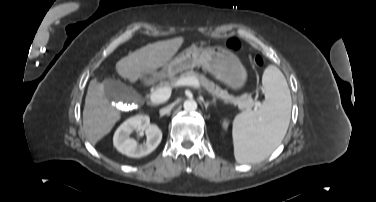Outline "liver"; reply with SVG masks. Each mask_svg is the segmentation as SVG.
I'll return each mask as SVG.
<instances>
[{
  "instance_id": "6515ba94",
  "label": "liver",
  "mask_w": 376,
  "mask_h": 202,
  "mask_svg": "<svg viewBox=\"0 0 376 202\" xmlns=\"http://www.w3.org/2000/svg\"><path fill=\"white\" fill-rule=\"evenodd\" d=\"M183 42V37H176L148 44L119 60L116 70L123 78L135 82L143 74L166 65ZM120 117L119 110L104 98L103 83L93 79L88 86L83 110V128L91 144L95 145L107 135Z\"/></svg>"
}]
</instances>
